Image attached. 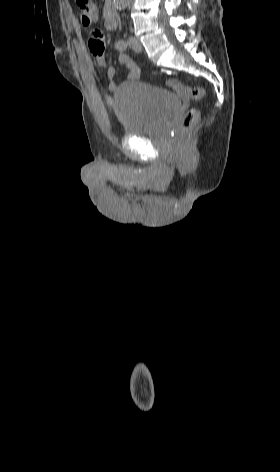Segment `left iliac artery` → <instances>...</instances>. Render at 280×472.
Listing matches in <instances>:
<instances>
[{"mask_svg":"<svg viewBox=\"0 0 280 472\" xmlns=\"http://www.w3.org/2000/svg\"><path fill=\"white\" fill-rule=\"evenodd\" d=\"M115 47L117 50L123 51L126 50L127 44L123 40H119L116 42Z\"/></svg>","mask_w":280,"mask_h":472,"instance_id":"left-iliac-artery-1","label":"left iliac artery"}]
</instances>
